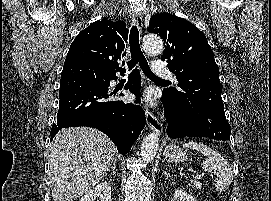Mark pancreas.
Listing matches in <instances>:
<instances>
[{
    "label": "pancreas",
    "mask_w": 271,
    "mask_h": 201,
    "mask_svg": "<svg viewBox=\"0 0 271 201\" xmlns=\"http://www.w3.org/2000/svg\"><path fill=\"white\" fill-rule=\"evenodd\" d=\"M193 187L196 188V189H201L202 188V185L200 182L198 181H193Z\"/></svg>",
    "instance_id": "obj_1"
}]
</instances>
